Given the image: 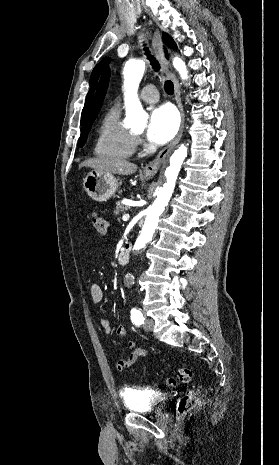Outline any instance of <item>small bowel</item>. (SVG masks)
I'll list each match as a JSON object with an SVG mask.
<instances>
[{
  "mask_svg": "<svg viewBox=\"0 0 279 465\" xmlns=\"http://www.w3.org/2000/svg\"><path fill=\"white\" fill-rule=\"evenodd\" d=\"M103 291L101 287L97 284H94L90 288V298L93 304L98 305L103 301ZM101 326L103 332L106 335H109L112 332L111 322L107 319L101 321ZM117 334L120 337L126 338L128 332L125 327H119L117 329ZM128 353L126 356L122 357L117 362V369L119 371H125L131 366H133L139 359H142L146 356V350L143 348L137 347L136 343L133 340H129L127 343Z\"/></svg>",
  "mask_w": 279,
  "mask_h": 465,
  "instance_id": "obj_1",
  "label": "small bowel"
}]
</instances>
